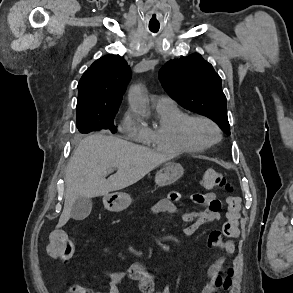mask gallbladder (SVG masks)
Segmentation results:
<instances>
[{"mask_svg": "<svg viewBox=\"0 0 293 293\" xmlns=\"http://www.w3.org/2000/svg\"><path fill=\"white\" fill-rule=\"evenodd\" d=\"M92 209V200L86 197L76 199L71 209V217L80 221L86 219Z\"/></svg>", "mask_w": 293, "mask_h": 293, "instance_id": "obj_1", "label": "gallbladder"}]
</instances>
